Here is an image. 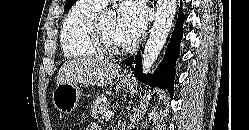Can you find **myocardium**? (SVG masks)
Listing matches in <instances>:
<instances>
[{"label": "myocardium", "mask_w": 249, "mask_h": 130, "mask_svg": "<svg viewBox=\"0 0 249 130\" xmlns=\"http://www.w3.org/2000/svg\"><path fill=\"white\" fill-rule=\"evenodd\" d=\"M102 16L97 14L90 26V39L94 48L100 55L107 57H116L124 53L122 46L113 45L106 37L101 24Z\"/></svg>", "instance_id": "obj_1"}]
</instances>
